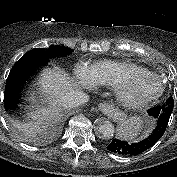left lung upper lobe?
Instances as JSON below:
<instances>
[{"instance_id":"1","label":"left lung upper lobe","mask_w":177,"mask_h":177,"mask_svg":"<svg viewBox=\"0 0 177 177\" xmlns=\"http://www.w3.org/2000/svg\"><path fill=\"white\" fill-rule=\"evenodd\" d=\"M164 105H171V108L174 106V100L172 96L164 103Z\"/></svg>"}]
</instances>
